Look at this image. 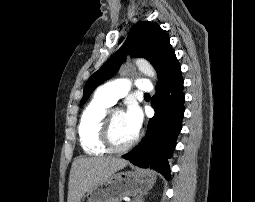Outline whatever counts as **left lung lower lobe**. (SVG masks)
<instances>
[{
    "instance_id": "0a47b994",
    "label": "left lung lower lobe",
    "mask_w": 255,
    "mask_h": 202,
    "mask_svg": "<svg viewBox=\"0 0 255 202\" xmlns=\"http://www.w3.org/2000/svg\"><path fill=\"white\" fill-rule=\"evenodd\" d=\"M182 74L156 88L152 99L155 116L149 120L145 138L123 158L142 168H151L170 178V159L182 128L185 96Z\"/></svg>"
}]
</instances>
